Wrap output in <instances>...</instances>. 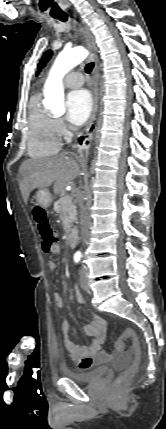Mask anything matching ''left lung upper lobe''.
I'll return each mask as SVG.
<instances>
[{
  "mask_svg": "<svg viewBox=\"0 0 166 429\" xmlns=\"http://www.w3.org/2000/svg\"><path fill=\"white\" fill-rule=\"evenodd\" d=\"M52 57V51L49 50L47 51L41 58V61L38 64V72L37 74L45 67L46 63L50 60V58ZM36 74V75H37Z\"/></svg>",
  "mask_w": 166,
  "mask_h": 429,
  "instance_id": "1",
  "label": "left lung upper lobe"
}]
</instances>
